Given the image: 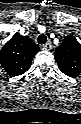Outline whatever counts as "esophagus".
Instances as JSON below:
<instances>
[{
    "label": "esophagus",
    "mask_w": 81,
    "mask_h": 124,
    "mask_svg": "<svg viewBox=\"0 0 81 124\" xmlns=\"http://www.w3.org/2000/svg\"><path fill=\"white\" fill-rule=\"evenodd\" d=\"M43 49L45 50H51L52 49V43L48 41L46 44L42 46Z\"/></svg>",
    "instance_id": "obj_1"
}]
</instances>
